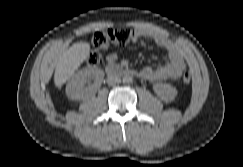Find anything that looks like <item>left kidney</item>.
Wrapping results in <instances>:
<instances>
[{
    "label": "left kidney",
    "mask_w": 243,
    "mask_h": 167,
    "mask_svg": "<svg viewBox=\"0 0 243 167\" xmlns=\"http://www.w3.org/2000/svg\"><path fill=\"white\" fill-rule=\"evenodd\" d=\"M153 90L157 96L165 102L173 101L178 93L175 87L166 83L154 84Z\"/></svg>",
    "instance_id": "1"
}]
</instances>
